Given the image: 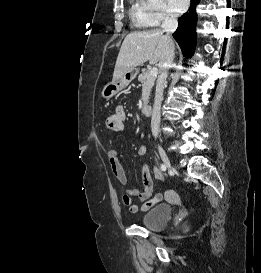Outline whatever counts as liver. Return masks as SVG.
Returning <instances> with one entry per match:
<instances>
[{
    "label": "liver",
    "instance_id": "1",
    "mask_svg": "<svg viewBox=\"0 0 261 273\" xmlns=\"http://www.w3.org/2000/svg\"><path fill=\"white\" fill-rule=\"evenodd\" d=\"M167 37L161 29L128 34L120 48L112 82H116L126 72L135 69L146 61L157 64L164 59Z\"/></svg>",
    "mask_w": 261,
    "mask_h": 273
}]
</instances>
